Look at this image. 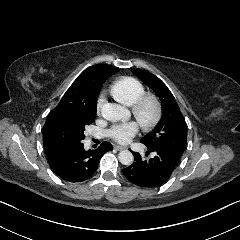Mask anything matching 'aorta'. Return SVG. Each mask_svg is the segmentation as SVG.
Here are the masks:
<instances>
[{
    "instance_id": "1",
    "label": "aorta",
    "mask_w": 240,
    "mask_h": 240,
    "mask_svg": "<svg viewBox=\"0 0 240 240\" xmlns=\"http://www.w3.org/2000/svg\"><path fill=\"white\" fill-rule=\"evenodd\" d=\"M126 113L127 109L116 103H106L101 108L102 117L111 122L121 120ZM118 159L123 165H131L134 157L129 150H122L118 155Z\"/></svg>"
}]
</instances>
